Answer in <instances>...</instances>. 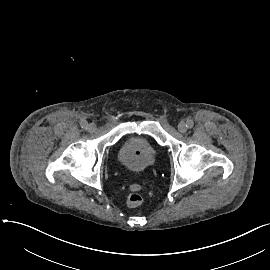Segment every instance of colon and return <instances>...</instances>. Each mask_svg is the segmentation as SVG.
I'll list each match as a JSON object with an SVG mask.
<instances>
[{
  "label": "colon",
  "mask_w": 270,
  "mask_h": 270,
  "mask_svg": "<svg viewBox=\"0 0 270 270\" xmlns=\"http://www.w3.org/2000/svg\"><path fill=\"white\" fill-rule=\"evenodd\" d=\"M143 202V196L138 191H130L126 195V203L128 206H139Z\"/></svg>",
  "instance_id": "colon-1"
}]
</instances>
